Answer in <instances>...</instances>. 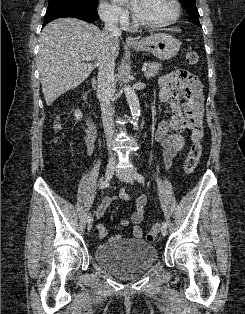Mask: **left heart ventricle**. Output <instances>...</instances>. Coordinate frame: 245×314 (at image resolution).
<instances>
[{"instance_id":"obj_1","label":"left heart ventricle","mask_w":245,"mask_h":314,"mask_svg":"<svg viewBox=\"0 0 245 314\" xmlns=\"http://www.w3.org/2000/svg\"><path fill=\"white\" fill-rule=\"evenodd\" d=\"M172 0H140L135 10L138 18L145 22H161L174 14Z\"/></svg>"}]
</instances>
